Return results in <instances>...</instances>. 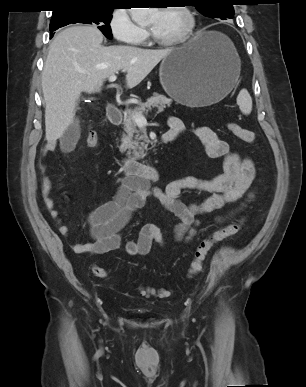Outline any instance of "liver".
Here are the masks:
<instances>
[{"mask_svg": "<svg viewBox=\"0 0 306 387\" xmlns=\"http://www.w3.org/2000/svg\"><path fill=\"white\" fill-rule=\"evenodd\" d=\"M103 35L94 26L64 29L52 41L42 72L46 139L55 143L75 116L82 92H99L104 81L126 71L129 89L136 87L173 48L142 49L102 45Z\"/></svg>", "mask_w": 306, "mask_h": 387, "instance_id": "liver-1", "label": "liver"}]
</instances>
